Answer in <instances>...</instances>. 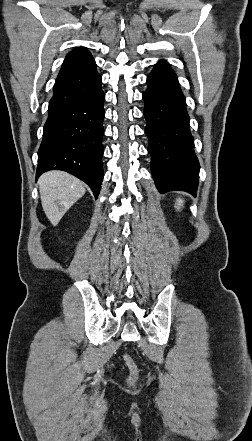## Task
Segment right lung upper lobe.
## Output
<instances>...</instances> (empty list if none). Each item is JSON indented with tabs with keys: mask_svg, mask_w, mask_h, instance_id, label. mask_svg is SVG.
<instances>
[{
	"mask_svg": "<svg viewBox=\"0 0 252 441\" xmlns=\"http://www.w3.org/2000/svg\"><path fill=\"white\" fill-rule=\"evenodd\" d=\"M91 61L94 59L85 47L76 48L66 56L59 75Z\"/></svg>",
	"mask_w": 252,
	"mask_h": 441,
	"instance_id": "right-lung-upper-lobe-1",
	"label": "right lung upper lobe"
}]
</instances>
